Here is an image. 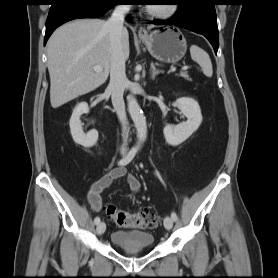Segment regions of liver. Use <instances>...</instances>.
<instances>
[{"label":"liver","mask_w":278,"mask_h":278,"mask_svg":"<svg viewBox=\"0 0 278 278\" xmlns=\"http://www.w3.org/2000/svg\"><path fill=\"white\" fill-rule=\"evenodd\" d=\"M125 60L129 58V34L122 31ZM50 102L53 108L101 86L111 68L109 29L100 19H78L59 27L47 43ZM102 71H94V66Z\"/></svg>","instance_id":"obj_1"}]
</instances>
